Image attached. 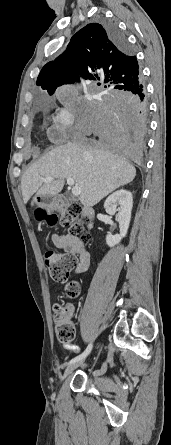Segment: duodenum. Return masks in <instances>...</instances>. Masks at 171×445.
Masks as SVG:
<instances>
[{
	"label": "duodenum",
	"instance_id": "duodenum-1",
	"mask_svg": "<svg viewBox=\"0 0 171 445\" xmlns=\"http://www.w3.org/2000/svg\"><path fill=\"white\" fill-rule=\"evenodd\" d=\"M65 201H66V199L64 196L59 197V203H60L61 208H64ZM83 212H84V215L87 217L86 226L88 229H91L93 227L92 216H93L94 212L91 207H84Z\"/></svg>",
	"mask_w": 171,
	"mask_h": 445
}]
</instances>
